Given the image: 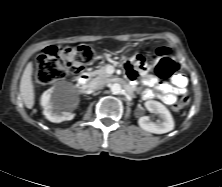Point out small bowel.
<instances>
[{
    "instance_id": "obj_1",
    "label": "small bowel",
    "mask_w": 222,
    "mask_h": 187,
    "mask_svg": "<svg viewBox=\"0 0 222 187\" xmlns=\"http://www.w3.org/2000/svg\"><path fill=\"white\" fill-rule=\"evenodd\" d=\"M126 75L129 80L134 81L137 77V72L134 68V63L128 61L126 64ZM144 84L152 89H145L141 95L144 99L157 98L167 105H173L176 103L179 95L186 92L187 78L183 74H176L172 79V84L166 82H160L156 77L152 75H144Z\"/></svg>"
}]
</instances>
